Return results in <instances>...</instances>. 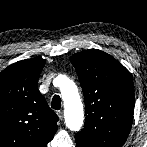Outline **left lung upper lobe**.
I'll list each match as a JSON object with an SVG mask.
<instances>
[{
  "label": "left lung upper lobe",
  "mask_w": 147,
  "mask_h": 147,
  "mask_svg": "<svg viewBox=\"0 0 147 147\" xmlns=\"http://www.w3.org/2000/svg\"><path fill=\"white\" fill-rule=\"evenodd\" d=\"M84 93V128L76 147H122L133 122L134 85L129 71L111 55L96 49L70 57Z\"/></svg>",
  "instance_id": "obj_1"
}]
</instances>
